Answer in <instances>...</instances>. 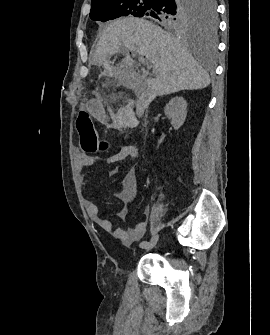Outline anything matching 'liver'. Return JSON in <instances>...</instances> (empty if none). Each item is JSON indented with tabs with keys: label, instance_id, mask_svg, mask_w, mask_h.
Returning a JSON list of instances; mask_svg holds the SVG:
<instances>
[{
	"label": "liver",
	"instance_id": "1",
	"mask_svg": "<svg viewBox=\"0 0 270 335\" xmlns=\"http://www.w3.org/2000/svg\"><path fill=\"white\" fill-rule=\"evenodd\" d=\"M128 50L152 62L156 78H148L143 84L153 98L180 90H201L210 84V76L197 64L187 46L144 18L128 16L111 22L103 30L93 62L114 74H124L133 66L129 54L118 68L109 66L108 58Z\"/></svg>",
	"mask_w": 270,
	"mask_h": 335
}]
</instances>
